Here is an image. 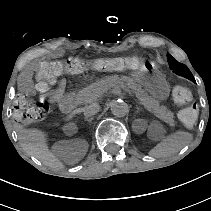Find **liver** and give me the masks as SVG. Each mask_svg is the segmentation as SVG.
<instances>
[{"label": "liver", "instance_id": "1", "mask_svg": "<svg viewBox=\"0 0 211 211\" xmlns=\"http://www.w3.org/2000/svg\"><path fill=\"white\" fill-rule=\"evenodd\" d=\"M15 128L27 154L36 157L47 166L63 168L62 163L48 151L43 132L37 129H24L21 125H15Z\"/></svg>", "mask_w": 211, "mask_h": 211}]
</instances>
